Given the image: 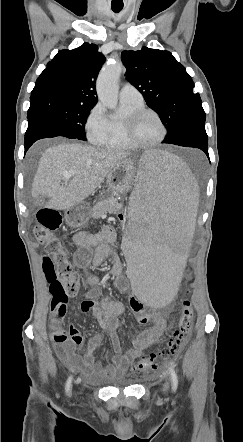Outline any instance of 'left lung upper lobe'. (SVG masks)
<instances>
[{
    "label": "left lung upper lobe",
    "mask_w": 243,
    "mask_h": 442,
    "mask_svg": "<svg viewBox=\"0 0 243 442\" xmlns=\"http://www.w3.org/2000/svg\"><path fill=\"white\" fill-rule=\"evenodd\" d=\"M127 79L157 112L167 135L163 143L177 135L188 123L205 118L200 95L183 65L169 51L143 47L123 51Z\"/></svg>",
    "instance_id": "5c2ea615"
}]
</instances>
